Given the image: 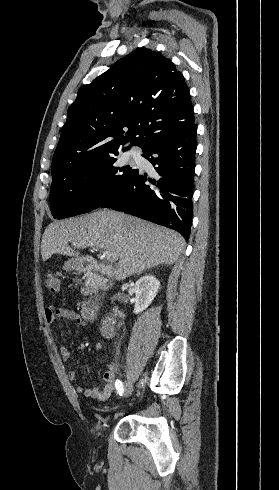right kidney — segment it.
<instances>
[{
	"label": "right kidney",
	"instance_id": "1",
	"mask_svg": "<svg viewBox=\"0 0 279 490\" xmlns=\"http://www.w3.org/2000/svg\"><path fill=\"white\" fill-rule=\"evenodd\" d=\"M134 290L136 296L134 314H139V312H144L156 298L160 290V282L152 274H146L137 280ZM114 312H116L115 316H124L123 312H119L117 308Z\"/></svg>",
	"mask_w": 279,
	"mask_h": 490
}]
</instances>
